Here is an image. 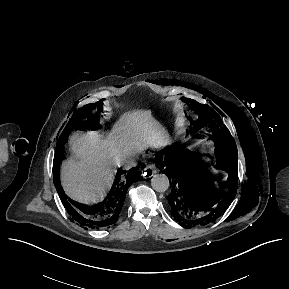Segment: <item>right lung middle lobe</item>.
<instances>
[{
  "instance_id": "obj_1",
  "label": "right lung middle lobe",
  "mask_w": 289,
  "mask_h": 289,
  "mask_svg": "<svg viewBox=\"0 0 289 289\" xmlns=\"http://www.w3.org/2000/svg\"><path fill=\"white\" fill-rule=\"evenodd\" d=\"M100 110L101 104L96 103L85 105L75 111L59 138H63L64 142H66L73 129H94L99 123V117L94 114V111H98L97 113H99Z\"/></svg>"
}]
</instances>
